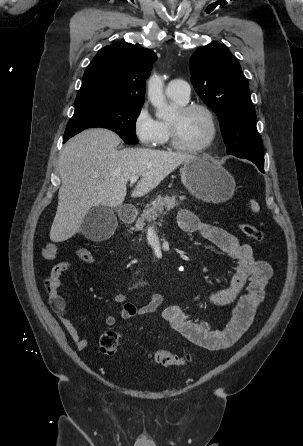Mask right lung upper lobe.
<instances>
[{
	"label": "right lung upper lobe",
	"instance_id": "obj_1",
	"mask_svg": "<svg viewBox=\"0 0 303 446\" xmlns=\"http://www.w3.org/2000/svg\"><path fill=\"white\" fill-rule=\"evenodd\" d=\"M157 59L137 44L114 43L98 51L83 75L75 107L95 103L142 106L145 79Z\"/></svg>",
	"mask_w": 303,
	"mask_h": 446
}]
</instances>
